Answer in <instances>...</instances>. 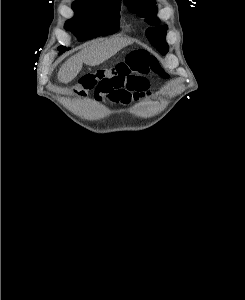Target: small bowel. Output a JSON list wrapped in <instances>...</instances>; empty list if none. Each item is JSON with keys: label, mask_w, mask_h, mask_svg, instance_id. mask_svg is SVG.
I'll use <instances>...</instances> for the list:
<instances>
[{"label": "small bowel", "mask_w": 245, "mask_h": 300, "mask_svg": "<svg viewBox=\"0 0 245 300\" xmlns=\"http://www.w3.org/2000/svg\"><path fill=\"white\" fill-rule=\"evenodd\" d=\"M149 81L144 76H136L130 80L116 75H105L96 84L95 100L97 103H113L129 105L149 94ZM81 94H85L84 90Z\"/></svg>", "instance_id": "1"}]
</instances>
